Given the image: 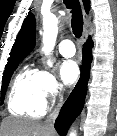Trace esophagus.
Wrapping results in <instances>:
<instances>
[{
    "label": "esophagus",
    "instance_id": "34e87169",
    "mask_svg": "<svg viewBox=\"0 0 117 136\" xmlns=\"http://www.w3.org/2000/svg\"><path fill=\"white\" fill-rule=\"evenodd\" d=\"M83 19H84V23H85V28H84V33H83V41H86L87 36H88V15L86 14V12L83 9Z\"/></svg>",
    "mask_w": 117,
    "mask_h": 136
}]
</instances>
